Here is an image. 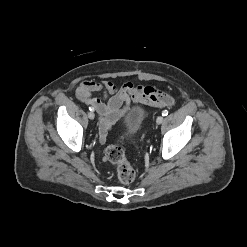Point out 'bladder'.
I'll return each instance as SVG.
<instances>
[{
    "label": "bladder",
    "instance_id": "1",
    "mask_svg": "<svg viewBox=\"0 0 247 247\" xmlns=\"http://www.w3.org/2000/svg\"><path fill=\"white\" fill-rule=\"evenodd\" d=\"M145 112L139 106L131 107L123 116L128 137L134 136L141 127Z\"/></svg>",
    "mask_w": 247,
    "mask_h": 247
}]
</instances>
